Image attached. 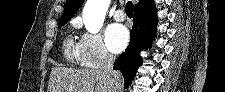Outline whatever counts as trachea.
Segmentation results:
<instances>
[{
  "mask_svg": "<svg viewBox=\"0 0 225 92\" xmlns=\"http://www.w3.org/2000/svg\"><path fill=\"white\" fill-rule=\"evenodd\" d=\"M125 11L128 15V17H132L133 11H134V5L131 1H128L125 5Z\"/></svg>",
  "mask_w": 225,
  "mask_h": 92,
  "instance_id": "1",
  "label": "trachea"
}]
</instances>
